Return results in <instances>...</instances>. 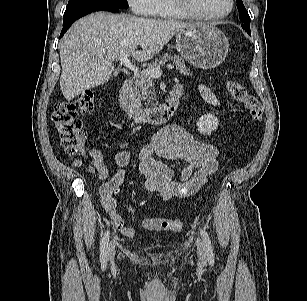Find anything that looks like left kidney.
I'll return each mask as SVG.
<instances>
[{
  "mask_svg": "<svg viewBox=\"0 0 307 301\" xmlns=\"http://www.w3.org/2000/svg\"><path fill=\"white\" fill-rule=\"evenodd\" d=\"M198 131L203 135H210L218 127V119L213 114H205L196 123Z\"/></svg>",
  "mask_w": 307,
  "mask_h": 301,
  "instance_id": "obj_1",
  "label": "left kidney"
}]
</instances>
